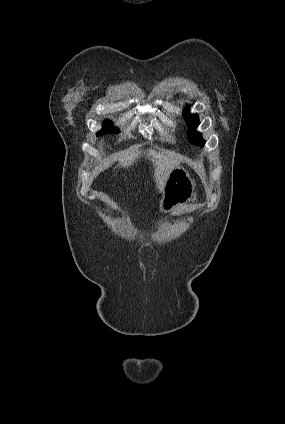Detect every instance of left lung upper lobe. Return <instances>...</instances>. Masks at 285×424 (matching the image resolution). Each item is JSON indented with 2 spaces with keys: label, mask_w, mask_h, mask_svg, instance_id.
<instances>
[{
  "label": "left lung upper lobe",
  "mask_w": 285,
  "mask_h": 424,
  "mask_svg": "<svg viewBox=\"0 0 285 424\" xmlns=\"http://www.w3.org/2000/svg\"><path fill=\"white\" fill-rule=\"evenodd\" d=\"M183 116L185 118V121L188 125V131L187 136L190 143L194 145H200L203 146L205 143V140L202 138V135L198 132H196V128L199 125V118L196 114H190L188 112V109L183 113Z\"/></svg>",
  "instance_id": "5c2ea615"
}]
</instances>
